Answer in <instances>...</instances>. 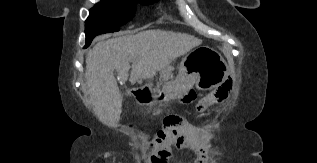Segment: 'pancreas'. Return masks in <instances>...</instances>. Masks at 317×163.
Listing matches in <instances>:
<instances>
[{"label":"pancreas","instance_id":"cf45deb5","mask_svg":"<svg viewBox=\"0 0 317 163\" xmlns=\"http://www.w3.org/2000/svg\"><path fill=\"white\" fill-rule=\"evenodd\" d=\"M171 71H172V67L171 66H167L165 68H163L160 72V81H167L168 79L171 78Z\"/></svg>","mask_w":317,"mask_h":163}]
</instances>
